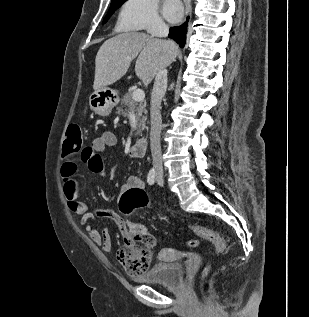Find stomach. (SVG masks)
<instances>
[{
  "label": "stomach",
  "mask_w": 309,
  "mask_h": 317,
  "mask_svg": "<svg viewBox=\"0 0 309 317\" xmlns=\"http://www.w3.org/2000/svg\"><path fill=\"white\" fill-rule=\"evenodd\" d=\"M119 103L117 91L103 87L95 90L89 97L90 108L100 116H107L111 110Z\"/></svg>",
  "instance_id": "obj_1"
}]
</instances>
